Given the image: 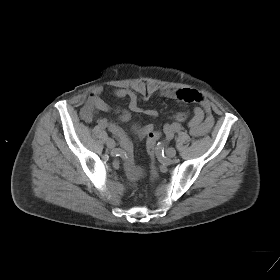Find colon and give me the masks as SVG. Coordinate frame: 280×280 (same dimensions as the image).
Returning <instances> with one entry per match:
<instances>
[{
    "instance_id": "5ec220e1",
    "label": "colon",
    "mask_w": 280,
    "mask_h": 280,
    "mask_svg": "<svg viewBox=\"0 0 280 280\" xmlns=\"http://www.w3.org/2000/svg\"><path fill=\"white\" fill-rule=\"evenodd\" d=\"M186 117H187V114L185 112H181V113L176 114L173 117V120L182 121ZM160 135H161V133L158 130H152L147 135L146 148H147V153L152 161L151 175L153 177L156 175V170L154 167V160H155V157H156L157 151H158L157 142L160 138Z\"/></svg>"
}]
</instances>
